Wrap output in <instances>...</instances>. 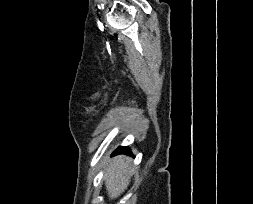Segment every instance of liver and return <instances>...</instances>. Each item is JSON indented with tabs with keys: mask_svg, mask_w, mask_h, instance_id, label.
I'll return each instance as SVG.
<instances>
[{
	"mask_svg": "<svg viewBox=\"0 0 253 204\" xmlns=\"http://www.w3.org/2000/svg\"><path fill=\"white\" fill-rule=\"evenodd\" d=\"M131 170V159L127 156H117L109 161L104 180L110 199L119 197L127 189Z\"/></svg>",
	"mask_w": 253,
	"mask_h": 204,
	"instance_id": "6515ba94",
	"label": "liver"
}]
</instances>
